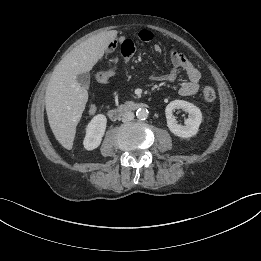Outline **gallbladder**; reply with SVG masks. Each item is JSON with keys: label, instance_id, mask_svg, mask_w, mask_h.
Listing matches in <instances>:
<instances>
[{"label": "gallbladder", "instance_id": "gallbladder-1", "mask_svg": "<svg viewBox=\"0 0 261 261\" xmlns=\"http://www.w3.org/2000/svg\"><path fill=\"white\" fill-rule=\"evenodd\" d=\"M77 82L80 86L84 88H88L90 85V74L89 73H81L76 77Z\"/></svg>", "mask_w": 261, "mask_h": 261}]
</instances>
